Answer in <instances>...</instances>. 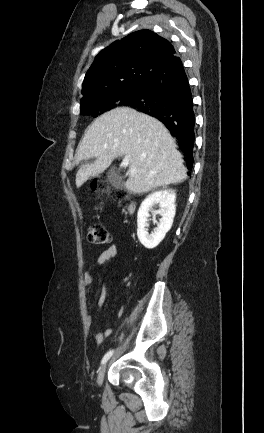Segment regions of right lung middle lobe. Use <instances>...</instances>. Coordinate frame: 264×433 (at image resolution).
<instances>
[{"instance_id": "1", "label": "right lung middle lobe", "mask_w": 264, "mask_h": 433, "mask_svg": "<svg viewBox=\"0 0 264 433\" xmlns=\"http://www.w3.org/2000/svg\"><path fill=\"white\" fill-rule=\"evenodd\" d=\"M141 85L126 86L105 95L81 100L80 113L83 115H98L122 106L125 102L137 95Z\"/></svg>"}]
</instances>
